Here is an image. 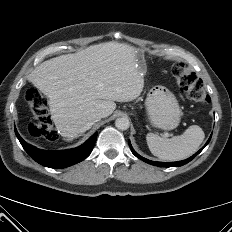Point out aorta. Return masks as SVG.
Instances as JSON below:
<instances>
[{"label":"aorta","instance_id":"1","mask_svg":"<svg viewBox=\"0 0 232 232\" xmlns=\"http://www.w3.org/2000/svg\"><path fill=\"white\" fill-rule=\"evenodd\" d=\"M129 125L130 122L126 117L117 118L115 121V126L119 130H127Z\"/></svg>","mask_w":232,"mask_h":232}]
</instances>
